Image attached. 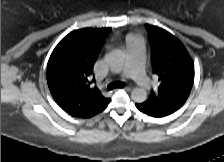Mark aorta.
<instances>
[{
  "label": "aorta",
  "instance_id": "obj_1",
  "mask_svg": "<svg viewBox=\"0 0 224 162\" xmlns=\"http://www.w3.org/2000/svg\"><path fill=\"white\" fill-rule=\"evenodd\" d=\"M106 62L114 73H120L124 64V54L121 51H113L106 56ZM131 99L137 103H143L147 99V92L143 88H134L131 91Z\"/></svg>",
  "mask_w": 224,
  "mask_h": 162
}]
</instances>
